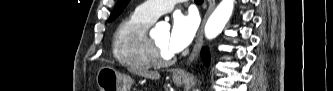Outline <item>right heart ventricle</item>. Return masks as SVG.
Listing matches in <instances>:
<instances>
[{
  "label": "right heart ventricle",
  "instance_id": "e07e8e85",
  "mask_svg": "<svg viewBox=\"0 0 333 91\" xmlns=\"http://www.w3.org/2000/svg\"><path fill=\"white\" fill-rule=\"evenodd\" d=\"M153 22L135 10L117 25L112 51L123 67L137 71L153 66L146 42V31Z\"/></svg>",
  "mask_w": 333,
  "mask_h": 91
}]
</instances>
